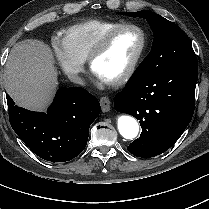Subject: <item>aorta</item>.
I'll list each match as a JSON object with an SVG mask.
<instances>
[{"label":"aorta","mask_w":209,"mask_h":209,"mask_svg":"<svg viewBox=\"0 0 209 209\" xmlns=\"http://www.w3.org/2000/svg\"><path fill=\"white\" fill-rule=\"evenodd\" d=\"M119 133L125 139H133L138 135L139 125L135 118L128 115H121L117 119Z\"/></svg>","instance_id":"aorta-1"}]
</instances>
